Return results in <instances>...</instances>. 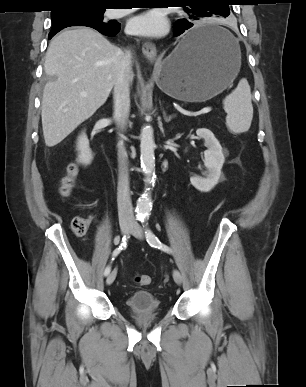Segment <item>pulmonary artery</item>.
Returning a JSON list of instances; mask_svg holds the SVG:
<instances>
[{"label": "pulmonary artery", "mask_w": 306, "mask_h": 387, "mask_svg": "<svg viewBox=\"0 0 306 387\" xmlns=\"http://www.w3.org/2000/svg\"><path fill=\"white\" fill-rule=\"evenodd\" d=\"M132 12L131 9H113L108 12V16L112 18L122 17Z\"/></svg>", "instance_id": "pulmonary-artery-1"}]
</instances>
